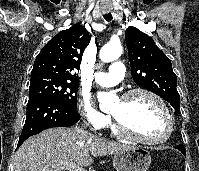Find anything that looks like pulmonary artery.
<instances>
[{
	"label": "pulmonary artery",
	"instance_id": "1",
	"mask_svg": "<svg viewBox=\"0 0 199 171\" xmlns=\"http://www.w3.org/2000/svg\"><path fill=\"white\" fill-rule=\"evenodd\" d=\"M124 76V65L119 62H113L106 72H97L94 76L95 82L104 87L116 85Z\"/></svg>",
	"mask_w": 199,
	"mask_h": 171
}]
</instances>
